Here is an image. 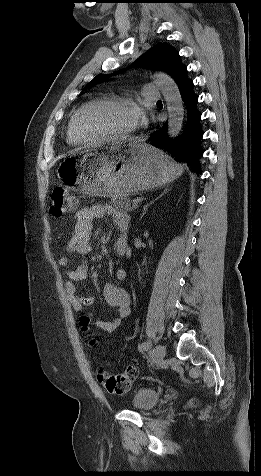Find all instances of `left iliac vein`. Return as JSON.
Masks as SVG:
<instances>
[{
	"label": "left iliac vein",
	"instance_id": "obj_1",
	"mask_svg": "<svg viewBox=\"0 0 261 476\" xmlns=\"http://www.w3.org/2000/svg\"><path fill=\"white\" fill-rule=\"evenodd\" d=\"M166 355V348L163 345H157L152 351V358L157 361H163Z\"/></svg>",
	"mask_w": 261,
	"mask_h": 476
}]
</instances>
